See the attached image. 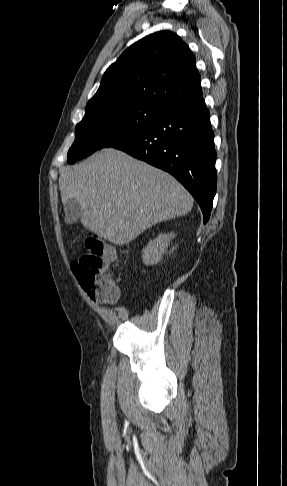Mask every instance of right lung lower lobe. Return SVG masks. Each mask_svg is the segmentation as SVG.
I'll return each instance as SVG.
<instances>
[{"label":"right lung lower lobe","instance_id":"obj_1","mask_svg":"<svg viewBox=\"0 0 287 486\" xmlns=\"http://www.w3.org/2000/svg\"><path fill=\"white\" fill-rule=\"evenodd\" d=\"M178 179L210 217L216 193V152L202 93L170 107L143 132L113 146Z\"/></svg>","mask_w":287,"mask_h":486}]
</instances>
